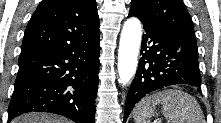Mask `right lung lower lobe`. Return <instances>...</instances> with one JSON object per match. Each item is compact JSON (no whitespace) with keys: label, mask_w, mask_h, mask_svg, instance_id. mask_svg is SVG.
Segmentation results:
<instances>
[{"label":"right lung lower lobe","mask_w":221,"mask_h":123,"mask_svg":"<svg viewBox=\"0 0 221 123\" xmlns=\"http://www.w3.org/2000/svg\"><path fill=\"white\" fill-rule=\"evenodd\" d=\"M99 40L97 35L62 49L21 54L8 121L24 112L46 111L94 123Z\"/></svg>","instance_id":"1"}]
</instances>
